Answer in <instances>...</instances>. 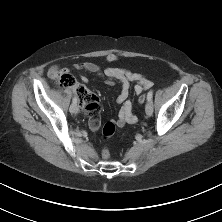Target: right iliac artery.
I'll list each match as a JSON object with an SVG mask.
<instances>
[{
  "mask_svg": "<svg viewBox=\"0 0 222 222\" xmlns=\"http://www.w3.org/2000/svg\"><path fill=\"white\" fill-rule=\"evenodd\" d=\"M73 103H77V98L76 97L73 98Z\"/></svg>",
  "mask_w": 222,
  "mask_h": 222,
  "instance_id": "1",
  "label": "right iliac artery"
}]
</instances>
